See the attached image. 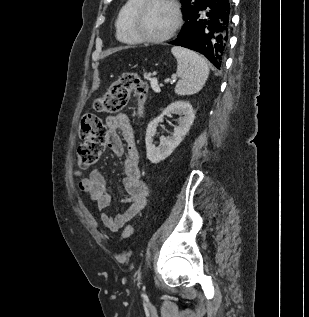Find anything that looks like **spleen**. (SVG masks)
<instances>
[{"mask_svg":"<svg viewBox=\"0 0 309 317\" xmlns=\"http://www.w3.org/2000/svg\"><path fill=\"white\" fill-rule=\"evenodd\" d=\"M177 60V76L180 78L175 93L180 96L199 92L205 85L209 67L203 57L189 49L175 46L171 49Z\"/></svg>","mask_w":309,"mask_h":317,"instance_id":"obj_1","label":"spleen"}]
</instances>
